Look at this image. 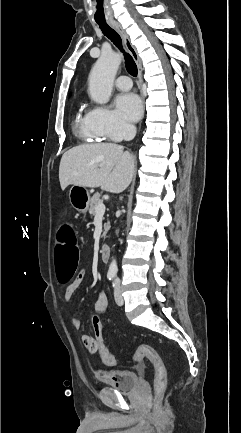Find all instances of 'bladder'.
<instances>
[{
  "label": "bladder",
  "instance_id": "1",
  "mask_svg": "<svg viewBox=\"0 0 241 433\" xmlns=\"http://www.w3.org/2000/svg\"><path fill=\"white\" fill-rule=\"evenodd\" d=\"M96 377L103 386L122 393H130L139 386V376L134 371H116L112 373L100 371Z\"/></svg>",
  "mask_w": 241,
  "mask_h": 433
}]
</instances>
